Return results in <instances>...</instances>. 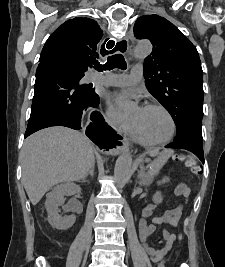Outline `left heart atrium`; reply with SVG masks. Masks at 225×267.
<instances>
[{"mask_svg":"<svg viewBox=\"0 0 225 267\" xmlns=\"http://www.w3.org/2000/svg\"><path fill=\"white\" fill-rule=\"evenodd\" d=\"M130 97L131 94L125 91L115 93L111 96V102L118 110H120L122 103L127 99H129Z\"/></svg>","mask_w":225,"mask_h":267,"instance_id":"1","label":"left heart atrium"}]
</instances>
